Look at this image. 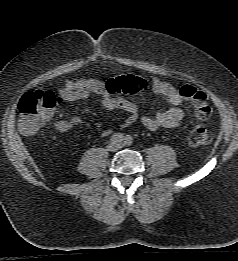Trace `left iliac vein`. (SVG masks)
Listing matches in <instances>:
<instances>
[{"label": "left iliac vein", "instance_id": "1", "mask_svg": "<svg viewBox=\"0 0 238 261\" xmlns=\"http://www.w3.org/2000/svg\"><path fill=\"white\" fill-rule=\"evenodd\" d=\"M118 146H119V148H122L123 145H122V144H119Z\"/></svg>", "mask_w": 238, "mask_h": 261}]
</instances>
